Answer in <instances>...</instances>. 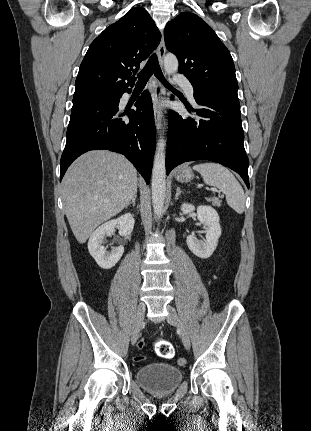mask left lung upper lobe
I'll use <instances>...</instances> for the list:
<instances>
[{
    "label": "left lung upper lobe",
    "mask_w": 311,
    "mask_h": 431,
    "mask_svg": "<svg viewBox=\"0 0 311 431\" xmlns=\"http://www.w3.org/2000/svg\"><path fill=\"white\" fill-rule=\"evenodd\" d=\"M164 36L167 49L178 58L179 72L184 73L194 87V96L237 94L231 54L200 17L181 13L167 23Z\"/></svg>",
    "instance_id": "1"
}]
</instances>
